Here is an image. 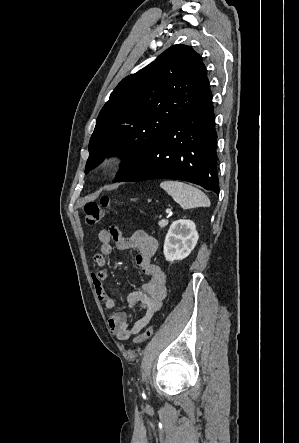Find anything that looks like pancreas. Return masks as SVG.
<instances>
[{
	"label": "pancreas",
	"instance_id": "obj_1",
	"mask_svg": "<svg viewBox=\"0 0 299 443\" xmlns=\"http://www.w3.org/2000/svg\"><path fill=\"white\" fill-rule=\"evenodd\" d=\"M158 224H159L160 228H164L165 226L168 225V220H165V219L160 220V221L158 222Z\"/></svg>",
	"mask_w": 299,
	"mask_h": 443
}]
</instances>
